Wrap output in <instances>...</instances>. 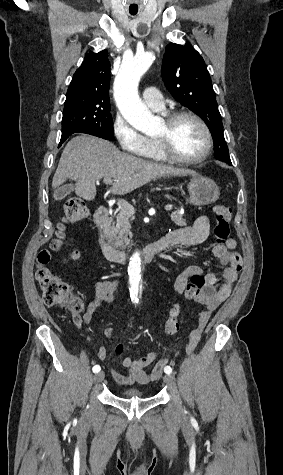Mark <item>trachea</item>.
<instances>
[{
	"mask_svg": "<svg viewBox=\"0 0 283 475\" xmlns=\"http://www.w3.org/2000/svg\"><path fill=\"white\" fill-rule=\"evenodd\" d=\"M131 15H136V13H131Z\"/></svg>",
	"mask_w": 283,
	"mask_h": 475,
	"instance_id": "1",
	"label": "trachea"
}]
</instances>
